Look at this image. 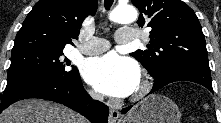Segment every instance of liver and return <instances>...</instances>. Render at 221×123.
<instances>
[{"mask_svg": "<svg viewBox=\"0 0 221 123\" xmlns=\"http://www.w3.org/2000/svg\"><path fill=\"white\" fill-rule=\"evenodd\" d=\"M0 123H85V120L60 104L27 99L5 109L0 115Z\"/></svg>", "mask_w": 221, "mask_h": 123, "instance_id": "6515ba94", "label": "liver"}]
</instances>
